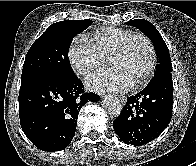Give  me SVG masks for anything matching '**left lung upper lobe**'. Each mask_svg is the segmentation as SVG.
Returning <instances> with one entry per match:
<instances>
[{
	"label": "left lung upper lobe",
	"mask_w": 196,
	"mask_h": 166,
	"mask_svg": "<svg viewBox=\"0 0 196 166\" xmlns=\"http://www.w3.org/2000/svg\"><path fill=\"white\" fill-rule=\"evenodd\" d=\"M127 24L139 28L152 40L155 47L158 63L154 77L172 73V64L169 50L154 25L144 19L130 20L127 22Z\"/></svg>",
	"instance_id": "obj_1"
}]
</instances>
